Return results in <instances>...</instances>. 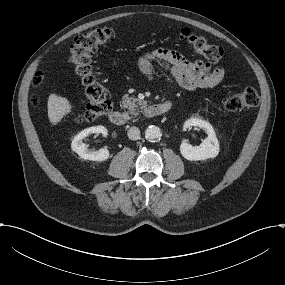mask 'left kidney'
Returning <instances> with one entry per match:
<instances>
[{
	"label": "left kidney",
	"instance_id": "left-kidney-1",
	"mask_svg": "<svg viewBox=\"0 0 285 285\" xmlns=\"http://www.w3.org/2000/svg\"><path fill=\"white\" fill-rule=\"evenodd\" d=\"M194 125L203 129L208 136L199 146H192L187 140H182L180 145L182 156L190 161L215 158L219 153V142L212 125L204 120H195Z\"/></svg>",
	"mask_w": 285,
	"mask_h": 285
}]
</instances>
